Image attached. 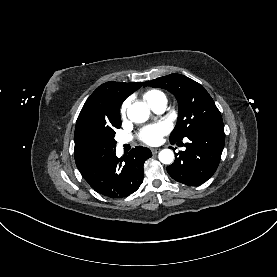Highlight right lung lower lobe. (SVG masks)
Listing matches in <instances>:
<instances>
[{
  "label": "right lung lower lobe",
  "mask_w": 277,
  "mask_h": 277,
  "mask_svg": "<svg viewBox=\"0 0 277 277\" xmlns=\"http://www.w3.org/2000/svg\"><path fill=\"white\" fill-rule=\"evenodd\" d=\"M151 156V151L141 146L122 158H117L113 150L78 169L95 191L109 198H120L135 192L142 184L143 165Z\"/></svg>",
  "instance_id": "98d812e1"
}]
</instances>
